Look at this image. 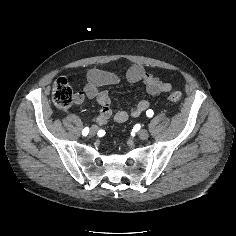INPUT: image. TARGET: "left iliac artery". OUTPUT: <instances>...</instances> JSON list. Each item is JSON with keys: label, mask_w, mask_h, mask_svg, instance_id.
Here are the masks:
<instances>
[{"label": "left iliac artery", "mask_w": 236, "mask_h": 236, "mask_svg": "<svg viewBox=\"0 0 236 236\" xmlns=\"http://www.w3.org/2000/svg\"><path fill=\"white\" fill-rule=\"evenodd\" d=\"M153 111L151 110V109H149V110H147V112H146V115L148 116V117H152L153 116Z\"/></svg>", "instance_id": "obj_1"}]
</instances>
